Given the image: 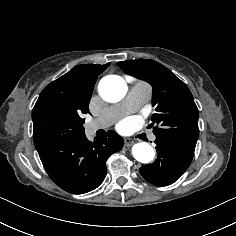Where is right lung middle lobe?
I'll list each match as a JSON object with an SVG mask.
<instances>
[{"instance_id":"1","label":"right lung middle lobe","mask_w":236,"mask_h":236,"mask_svg":"<svg viewBox=\"0 0 236 236\" xmlns=\"http://www.w3.org/2000/svg\"><path fill=\"white\" fill-rule=\"evenodd\" d=\"M82 111L71 114H48L44 116L41 123L34 129L35 146L48 143L55 139L68 138L84 133L83 124L85 119Z\"/></svg>"}]
</instances>
